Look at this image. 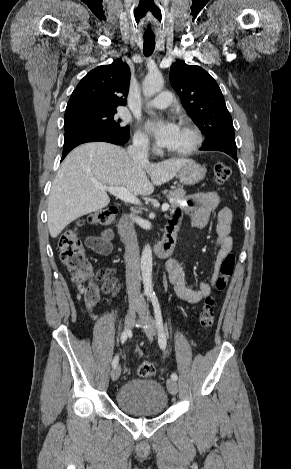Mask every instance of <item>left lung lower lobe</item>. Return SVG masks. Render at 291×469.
<instances>
[{
    "instance_id": "obj_1",
    "label": "left lung lower lobe",
    "mask_w": 291,
    "mask_h": 469,
    "mask_svg": "<svg viewBox=\"0 0 291 469\" xmlns=\"http://www.w3.org/2000/svg\"><path fill=\"white\" fill-rule=\"evenodd\" d=\"M200 150H216L227 153L232 158L237 160V153H236V143H228V142H220L217 144H213L210 146H203Z\"/></svg>"
}]
</instances>
